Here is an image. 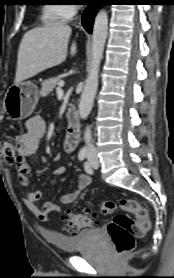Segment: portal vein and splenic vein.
<instances>
[{
	"mask_svg": "<svg viewBox=\"0 0 174 278\" xmlns=\"http://www.w3.org/2000/svg\"><path fill=\"white\" fill-rule=\"evenodd\" d=\"M64 86V82L63 81H60L58 83V87H57V90H61V88Z\"/></svg>",
	"mask_w": 174,
	"mask_h": 278,
	"instance_id": "portal-vein-and-splenic-vein-1",
	"label": "portal vein and splenic vein"
}]
</instances>
